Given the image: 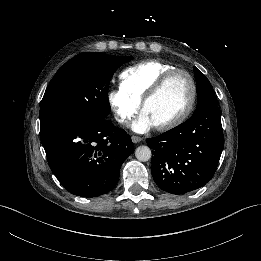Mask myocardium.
<instances>
[{
  "label": "myocardium",
  "mask_w": 261,
  "mask_h": 261,
  "mask_svg": "<svg viewBox=\"0 0 261 261\" xmlns=\"http://www.w3.org/2000/svg\"><path fill=\"white\" fill-rule=\"evenodd\" d=\"M176 74H184L188 78L190 86H191L190 100H189L188 104L186 105V107L184 108V110L180 113V115H178L174 119L167 121L163 124L155 125L156 129L160 130V131L170 130V129H173V128L179 126L181 123H183L186 120V118L189 116V114L191 113V111L193 110L194 105H195V101H196V97H197V86H196L194 78L188 71L176 68L174 70H171V71L165 73L152 86L150 91L147 93V95L142 100V103H141L142 111L144 112V109L147 106V104H149L152 100H154L162 92V90L166 87L168 82Z\"/></svg>",
  "instance_id": "f54148a6"
}]
</instances>
